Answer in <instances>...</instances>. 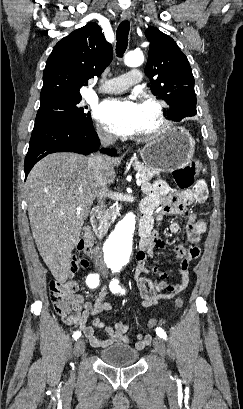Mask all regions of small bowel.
I'll return each instance as SVG.
<instances>
[{
  "mask_svg": "<svg viewBox=\"0 0 243 409\" xmlns=\"http://www.w3.org/2000/svg\"><path fill=\"white\" fill-rule=\"evenodd\" d=\"M145 191L147 197L143 202L142 209H148L152 213L158 211V222H161L162 217L168 213L185 217L188 220L186 226L187 240L191 243L189 247L179 244L173 248L176 257L180 259L177 271L181 280L179 283L171 284L166 281V273L160 272L156 266L149 262L153 257V249L164 248L165 246L157 231H152L149 239L141 240L134 278L142 298V306L150 307L157 305L160 301L172 299L189 284V263L200 256L201 250L197 243L207 230L206 222L198 218L189 208L205 201L208 189L206 183L199 180L192 189L174 192L165 182L157 181L153 186L146 187ZM169 229L174 234L179 233L181 230L180 225L176 222H172ZM163 291H166V293H163ZM108 293V289L103 287L93 303L87 301L81 295L73 297L76 306L81 311L75 323L86 336L89 344L96 349L106 348L116 342L123 344L132 342V338L128 335L130 326L124 321H118L114 326H110L96 317L93 319L92 325L88 324L90 317L112 310V305L107 301ZM96 329L104 331L107 338L98 339L95 335ZM150 342V335H138L135 347L141 350L148 346Z\"/></svg>",
  "mask_w": 243,
  "mask_h": 409,
  "instance_id": "c3829d8e",
  "label": "small bowel"
}]
</instances>
